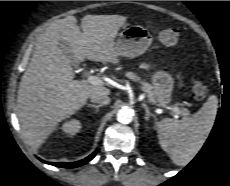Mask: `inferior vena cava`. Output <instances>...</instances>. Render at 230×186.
Returning <instances> with one entry per match:
<instances>
[{"label":"inferior vena cava","instance_id":"inferior-vena-cava-1","mask_svg":"<svg viewBox=\"0 0 230 186\" xmlns=\"http://www.w3.org/2000/svg\"><path fill=\"white\" fill-rule=\"evenodd\" d=\"M91 102L99 103L101 105H108L110 103V98L106 94L102 93H93L90 96Z\"/></svg>","mask_w":230,"mask_h":186}]
</instances>
